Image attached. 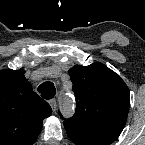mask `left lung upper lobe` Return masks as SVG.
Here are the masks:
<instances>
[{"label":"left lung upper lobe","instance_id":"5c2ea615","mask_svg":"<svg viewBox=\"0 0 145 145\" xmlns=\"http://www.w3.org/2000/svg\"><path fill=\"white\" fill-rule=\"evenodd\" d=\"M76 96V113L63 124L124 127L130 92L114 71L101 63L74 66L69 70Z\"/></svg>","mask_w":145,"mask_h":145}]
</instances>
